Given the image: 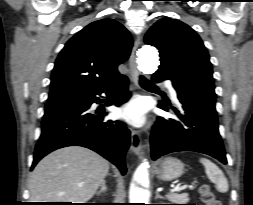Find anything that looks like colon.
<instances>
[{
  "label": "colon",
  "mask_w": 253,
  "mask_h": 205,
  "mask_svg": "<svg viewBox=\"0 0 253 205\" xmlns=\"http://www.w3.org/2000/svg\"><path fill=\"white\" fill-rule=\"evenodd\" d=\"M200 196L204 205H221V202L217 199L208 185L201 186Z\"/></svg>",
  "instance_id": "5ec220e1"
}]
</instances>
